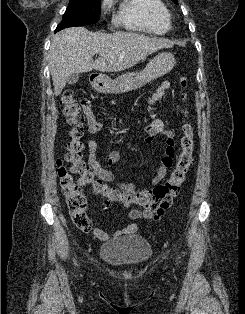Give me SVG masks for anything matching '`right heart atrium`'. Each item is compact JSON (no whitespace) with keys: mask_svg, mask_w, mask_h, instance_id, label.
Here are the masks:
<instances>
[{"mask_svg":"<svg viewBox=\"0 0 245 314\" xmlns=\"http://www.w3.org/2000/svg\"><path fill=\"white\" fill-rule=\"evenodd\" d=\"M111 6H112V0H103L102 1V9H103V11L110 10Z\"/></svg>","mask_w":245,"mask_h":314,"instance_id":"obj_1","label":"right heart atrium"}]
</instances>
